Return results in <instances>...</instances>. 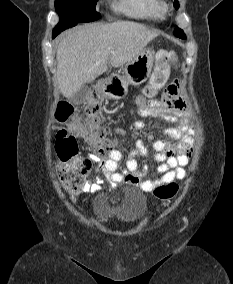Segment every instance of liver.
<instances>
[{
  "label": "liver",
  "instance_id": "6515ba94",
  "mask_svg": "<svg viewBox=\"0 0 233 284\" xmlns=\"http://www.w3.org/2000/svg\"><path fill=\"white\" fill-rule=\"evenodd\" d=\"M158 35L130 21L85 25L66 33L56 53L62 95L72 98L82 85L106 72L108 63L115 68L127 64Z\"/></svg>",
  "mask_w": 233,
  "mask_h": 284
}]
</instances>
